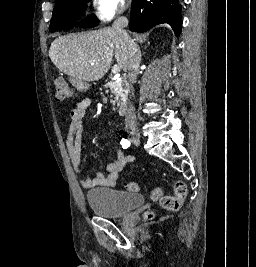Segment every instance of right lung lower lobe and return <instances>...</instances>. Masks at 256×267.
I'll return each mask as SVG.
<instances>
[{
    "label": "right lung lower lobe",
    "mask_w": 256,
    "mask_h": 267,
    "mask_svg": "<svg viewBox=\"0 0 256 267\" xmlns=\"http://www.w3.org/2000/svg\"><path fill=\"white\" fill-rule=\"evenodd\" d=\"M180 12L178 0H133L129 28L145 32L155 25L168 23L179 36L182 24Z\"/></svg>",
    "instance_id": "98d812e1"
}]
</instances>
